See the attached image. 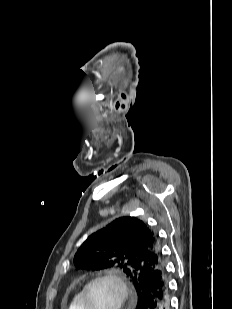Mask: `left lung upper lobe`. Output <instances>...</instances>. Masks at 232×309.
Listing matches in <instances>:
<instances>
[{
    "label": "left lung upper lobe",
    "instance_id": "left-lung-upper-lobe-1",
    "mask_svg": "<svg viewBox=\"0 0 232 309\" xmlns=\"http://www.w3.org/2000/svg\"><path fill=\"white\" fill-rule=\"evenodd\" d=\"M78 269L120 268L137 295L150 273L163 264L158 235L136 217H121L90 235L75 254Z\"/></svg>",
    "mask_w": 232,
    "mask_h": 309
}]
</instances>
